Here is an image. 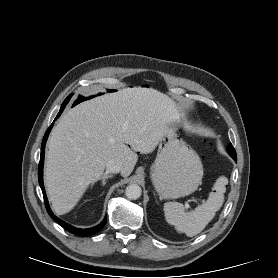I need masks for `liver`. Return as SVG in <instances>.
I'll list each match as a JSON object with an SVG mask.
<instances>
[{"instance_id":"6515ba94","label":"liver","mask_w":278,"mask_h":278,"mask_svg":"<svg viewBox=\"0 0 278 278\" xmlns=\"http://www.w3.org/2000/svg\"><path fill=\"white\" fill-rule=\"evenodd\" d=\"M179 115L171 98L143 87L104 94L67 111L47 144L45 184L54 211H71L109 161L120 162L121 176H129L136 152H153Z\"/></svg>"}]
</instances>
